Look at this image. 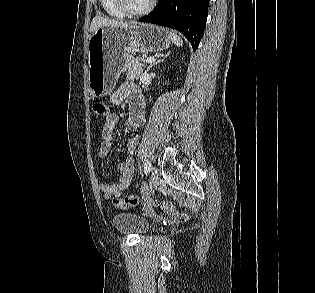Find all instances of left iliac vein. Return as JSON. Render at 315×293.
<instances>
[{
	"label": "left iliac vein",
	"mask_w": 315,
	"mask_h": 293,
	"mask_svg": "<svg viewBox=\"0 0 315 293\" xmlns=\"http://www.w3.org/2000/svg\"><path fill=\"white\" fill-rule=\"evenodd\" d=\"M159 184V170L154 167L149 181L150 190L153 191Z\"/></svg>",
	"instance_id": "obj_1"
}]
</instances>
